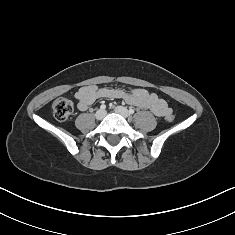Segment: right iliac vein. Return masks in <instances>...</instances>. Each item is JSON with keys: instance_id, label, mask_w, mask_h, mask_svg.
<instances>
[{"instance_id": "obj_1", "label": "right iliac vein", "mask_w": 235, "mask_h": 235, "mask_svg": "<svg viewBox=\"0 0 235 235\" xmlns=\"http://www.w3.org/2000/svg\"><path fill=\"white\" fill-rule=\"evenodd\" d=\"M106 115V112L104 110H98L96 113H95V118L97 120H102Z\"/></svg>"}]
</instances>
